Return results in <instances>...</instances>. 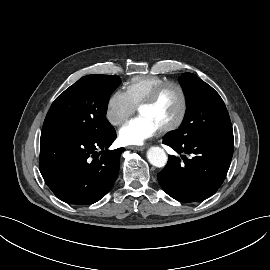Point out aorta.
Returning a JSON list of instances; mask_svg holds the SVG:
<instances>
[{
    "label": "aorta",
    "mask_w": 270,
    "mask_h": 270,
    "mask_svg": "<svg viewBox=\"0 0 270 270\" xmlns=\"http://www.w3.org/2000/svg\"><path fill=\"white\" fill-rule=\"evenodd\" d=\"M147 159L155 167H164L167 163V155L160 147H150L147 151Z\"/></svg>",
    "instance_id": "762f6f07"
}]
</instances>
